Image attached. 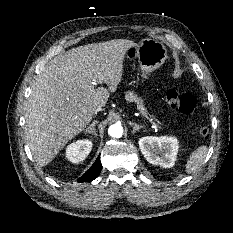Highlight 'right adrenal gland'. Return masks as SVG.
Wrapping results in <instances>:
<instances>
[{"label": "right adrenal gland", "mask_w": 233, "mask_h": 233, "mask_svg": "<svg viewBox=\"0 0 233 233\" xmlns=\"http://www.w3.org/2000/svg\"><path fill=\"white\" fill-rule=\"evenodd\" d=\"M96 123H98V121H93L92 124L84 131V133H91V134L95 135V137H96L97 134H96V130L94 128Z\"/></svg>", "instance_id": "right-adrenal-gland-1"}]
</instances>
